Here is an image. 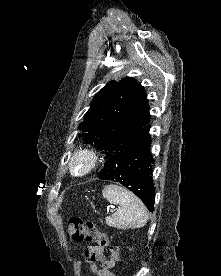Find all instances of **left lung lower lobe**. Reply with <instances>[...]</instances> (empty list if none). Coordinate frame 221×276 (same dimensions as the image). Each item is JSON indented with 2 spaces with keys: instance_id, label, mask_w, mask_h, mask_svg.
Listing matches in <instances>:
<instances>
[{
  "instance_id": "0a47b994",
  "label": "left lung lower lobe",
  "mask_w": 221,
  "mask_h": 276,
  "mask_svg": "<svg viewBox=\"0 0 221 276\" xmlns=\"http://www.w3.org/2000/svg\"><path fill=\"white\" fill-rule=\"evenodd\" d=\"M150 125L141 131L138 139L107 159L99 178L121 183L137 195L153 212L155 189L152 181L153 157L150 152Z\"/></svg>"
}]
</instances>
